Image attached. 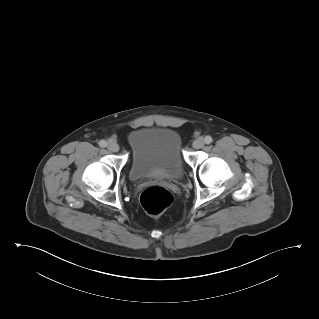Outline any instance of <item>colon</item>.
I'll list each match as a JSON object with an SVG mask.
<instances>
[{
	"label": "colon",
	"instance_id": "obj_1",
	"mask_svg": "<svg viewBox=\"0 0 319 319\" xmlns=\"http://www.w3.org/2000/svg\"><path fill=\"white\" fill-rule=\"evenodd\" d=\"M144 210L152 217L161 216L173 203L172 194L161 186H150L140 196Z\"/></svg>",
	"mask_w": 319,
	"mask_h": 319
}]
</instances>
